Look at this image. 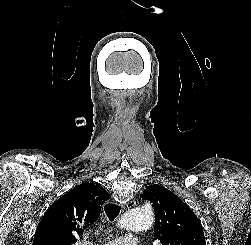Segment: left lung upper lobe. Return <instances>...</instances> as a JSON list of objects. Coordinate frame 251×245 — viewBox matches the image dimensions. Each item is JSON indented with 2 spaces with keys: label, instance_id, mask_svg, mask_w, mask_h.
<instances>
[{
  "label": "left lung upper lobe",
  "instance_id": "obj_1",
  "mask_svg": "<svg viewBox=\"0 0 251 245\" xmlns=\"http://www.w3.org/2000/svg\"><path fill=\"white\" fill-rule=\"evenodd\" d=\"M141 198L153 204L155 240L162 245H206L201 222L177 195L161 185L152 184Z\"/></svg>",
  "mask_w": 251,
  "mask_h": 245
}]
</instances>
